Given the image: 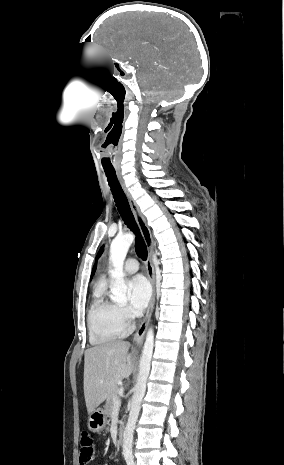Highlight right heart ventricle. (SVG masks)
<instances>
[{
  "instance_id": "obj_1",
  "label": "right heart ventricle",
  "mask_w": 284,
  "mask_h": 465,
  "mask_svg": "<svg viewBox=\"0 0 284 465\" xmlns=\"http://www.w3.org/2000/svg\"><path fill=\"white\" fill-rule=\"evenodd\" d=\"M126 324L118 314L117 305L109 301L103 291L93 295L87 313L90 342L95 346H106L121 338Z\"/></svg>"
}]
</instances>
